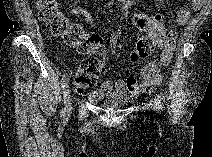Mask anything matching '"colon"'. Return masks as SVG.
Returning a JSON list of instances; mask_svg holds the SVG:
<instances>
[{
	"mask_svg": "<svg viewBox=\"0 0 212 157\" xmlns=\"http://www.w3.org/2000/svg\"><path fill=\"white\" fill-rule=\"evenodd\" d=\"M37 8L40 20L53 34L77 46L85 54L73 78L77 90L83 92L95 85L106 63V49L100 37L87 33L80 24L70 21L54 0H41L37 2ZM165 39L163 33L154 31L140 36L130 53L131 60L149 57L157 46L163 45Z\"/></svg>",
	"mask_w": 212,
	"mask_h": 157,
	"instance_id": "obj_1",
	"label": "colon"
}]
</instances>
